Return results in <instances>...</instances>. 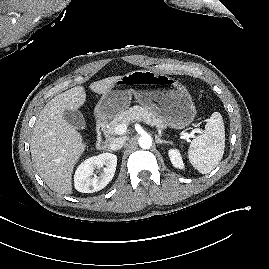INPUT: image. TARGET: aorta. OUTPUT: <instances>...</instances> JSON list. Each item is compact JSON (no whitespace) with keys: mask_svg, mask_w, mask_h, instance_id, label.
<instances>
[{"mask_svg":"<svg viewBox=\"0 0 269 269\" xmlns=\"http://www.w3.org/2000/svg\"><path fill=\"white\" fill-rule=\"evenodd\" d=\"M139 146L143 149H148L152 145V138L149 135H143L138 140Z\"/></svg>","mask_w":269,"mask_h":269,"instance_id":"1","label":"aorta"}]
</instances>
